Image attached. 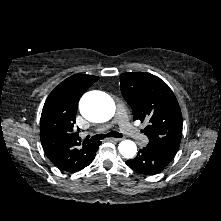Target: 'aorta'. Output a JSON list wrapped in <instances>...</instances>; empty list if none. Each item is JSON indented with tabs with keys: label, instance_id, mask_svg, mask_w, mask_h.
<instances>
[{
	"label": "aorta",
	"instance_id": "1",
	"mask_svg": "<svg viewBox=\"0 0 221 221\" xmlns=\"http://www.w3.org/2000/svg\"><path fill=\"white\" fill-rule=\"evenodd\" d=\"M80 112L89 121L104 122L109 120L115 112L113 100L106 94L89 92L80 101ZM120 154L125 158L136 155V144L131 140H123L118 146Z\"/></svg>",
	"mask_w": 221,
	"mask_h": 221
}]
</instances>
